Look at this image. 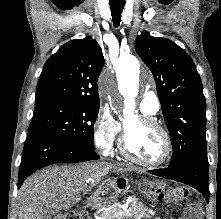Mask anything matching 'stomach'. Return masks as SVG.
<instances>
[{
	"mask_svg": "<svg viewBox=\"0 0 221 219\" xmlns=\"http://www.w3.org/2000/svg\"><path fill=\"white\" fill-rule=\"evenodd\" d=\"M165 187L161 178H145V182L140 185L141 192L145 199L150 200V204H159V200L167 199L169 190H165Z\"/></svg>",
	"mask_w": 221,
	"mask_h": 219,
	"instance_id": "stomach-1",
	"label": "stomach"
}]
</instances>
